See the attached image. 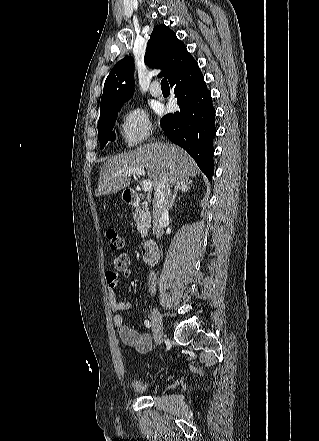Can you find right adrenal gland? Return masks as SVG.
<instances>
[{
  "label": "right adrenal gland",
  "mask_w": 319,
  "mask_h": 441,
  "mask_svg": "<svg viewBox=\"0 0 319 441\" xmlns=\"http://www.w3.org/2000/svg\"><path fill=\"white\" fill-rule=\"evenodd\" d=\"M191 187H192V181H186L184 183H181L179 186L175 187V192H174L173 197L170 201L169 208H172L174 206V202H175L177 194L179 192H185V193L189 192Z\"/></svg>",
  "instance_id": "1"
}]
</instances>
